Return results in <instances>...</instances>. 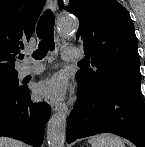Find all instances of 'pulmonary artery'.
<instances>
[{
    "label": "pulmonary artery",
    "instance_id": "pulmonary-artery-1",
    "mask_svg": "<svg viewBox=\"0 0 145 147\" xmlns=\"http://www.w3.org/2000/svg\"><path fill=\"white\" fill-rule=\"evenodd\" d=\"M83 56V53L80 49L77 48H67L63 52V59L65 61H74L78 60ZM32 59L27 57L24 62L23 66L19 71L20 77H25L28 75H38L45 70V67L42 65H31Z\"/></svg>",
    "mask_w": 145,
    "mask_h": 147
}]
</instances>
